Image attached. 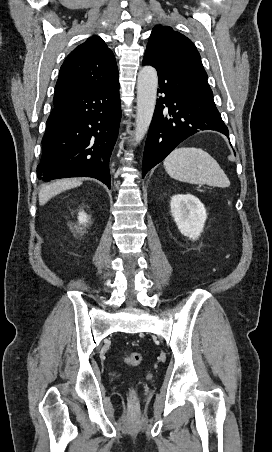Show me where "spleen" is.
<instances>
[{
    "label": "spleen",
    "instance_id": "1",
    "mask_svg": "<svg viewBox=\"0 0 272 452\" xmlns=\"http://www.w3.org/2000/svg\"><path fill=\"white\" fill-rule=\"evenodd\" d=\"M163 164L169 176L181 182L223 188L230 185L218 162L200 148H177L165 158Z\"/></svg>",
    "mask_w": 272,
    "mask_h": 452
}]
</instances>
